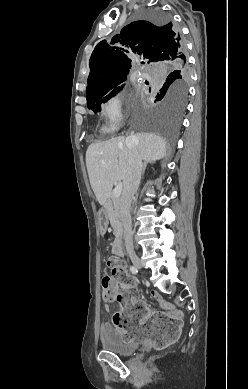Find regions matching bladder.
<instances>
[{"mask_svg":"<svg viewBox=\"0 0 248 389\" xmlns=\"http://www.w3.org/2000/svg\"><path fill=\"white\" fill-rule=\"evenodd\" d=\"M100 344L103 351L114 353L120 356H128L139 349V343L129 342L123 338V335L117 331L101 333Z\"/></svg>","mask_w":248,"mask_h":389,"instance_id":"obj_1","label":"bladder"}]
</instances>
